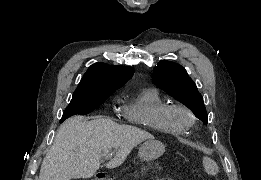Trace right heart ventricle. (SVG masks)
<instances>
[{"label":"right heart ventricle","instance_id":"1","mask_svg":"<svg viewBox=\"0 0 261 180\" xmlns=\"http://www.w3.org/2000/svg\"><path fill=\"white\" fill-rule=\"evenodd\" d=\"M169 105V102L158 90L147 88L122 104L120 121H134L135 125L130 127H144V131L161 134L160 138L139 139L179 142L186 136V131L185 129L171 128L165 123L163 112Z\"/></svg>","mask_w":261,"mask_h":180}]
</instances>
